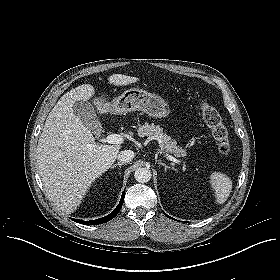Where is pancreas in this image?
Here are the masks:
<instances>
[{"label":"pancreas","mask_w":280,"mask_h":280,"mask_svg":"<svg viewBox=\"0 0 280 280\" xmlns=\"http://www.w3.org/2000/svg\"><path fill=\"white\" fill-rule=\"evenodd\" d=\"M138 135L140 137H150L159 142L162 150L167 153H171L176 157H183L186 155V150L177 145V142L170 136L163 132L160 126L154 124L145 123V125L139 126Z\"/></svg>","instance_id":"obj_1"}]
</instances>
